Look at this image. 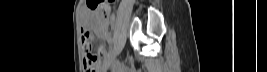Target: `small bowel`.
Listing matches in <instances>:
<instances>
[{"instance_id":"c3829d8e","label":"small bowel","mask_w":267,"mask_h":72,"mask_svg":"<svg viewBox=\"0 0 267 72\" xmlns=\"http://www.w3.org/2000/svg\"><path fill=\"white\" fill-rule=\"evenodd\" d=\"M111 23H112L111 21H106V20L99 21L95 29L97 35L109 41V38H110L109 25H111ZM85 42H89V36L87 32H83L82 34V47ZM106 58H107V44H104L99 49L97 69L95 68L94 72L104 71L105 63L107 61ZM83 63H85V59H83Z\"/></svg>"}]
</instances>
